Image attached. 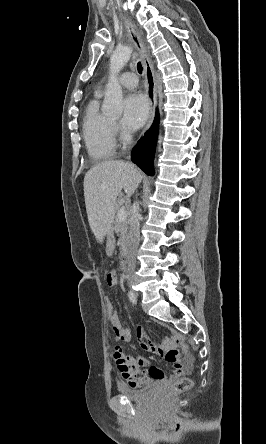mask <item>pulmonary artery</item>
<instances>
[{"mask_svg": "<svg viewBox=\"0 0 266 444\" xmlns=\"http://www.w3.org/2000/svg\"><path fill=\"white\" fill-rule=\"evenodd\" d=\"M118 82L123 87L134 88L137 85V77L134 73L125 72L119 77Z\"/></svg>", "mask_w": 266, "mask_h": 444, "instance_id": "pulmonary-artery-1", "label": "pulmonary artery"}]
</instances>
